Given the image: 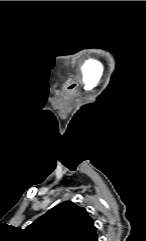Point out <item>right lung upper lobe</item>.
<instances>
[{
    "label": "right lung upper lobe",
    "mask_w": 146,
    "mask_h": 241,
    "mask_svg": "<svg viewBox=\"0 0 146 241\" xmlns=\"http://www.w3.org/2000/svg\"><path fill=\"white\" fill-rule=\"evenodd\" d=\"M31 241H98L94 221L83 207L65 201L26 228Z\"/></svg>",
    "instance_id": "obj_1"
}]
</instances>
